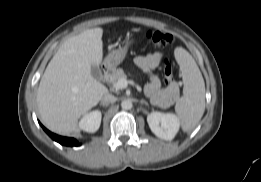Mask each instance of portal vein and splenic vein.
<instances>
[{
    "mask_svg": "<svg viewBox=\"0 0 261 182\" xmlns=\"http://www.w3.org/2000/svg\"><path fill=\"white\" fill-rule=\"evenodd\" d=\"M128 86V81L126 80V78H121L120 80H118V82L114 85V87L116 89H124Z\"/></svg>",
    "mask_w": 261,
    "mask_h": 182,
    "instance_id": "1",
    "label": "portal vein and splenic vein"
}]
</instances>
